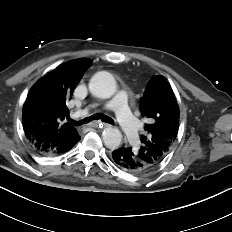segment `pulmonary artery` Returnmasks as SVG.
<instances>
[{
    "mask_svg": "<svg viewBox=\"0 0 232 232\" xmlns=\"http://www.w3.org/2000/svg\"><path fill=\"white\" fill-rule=\"evenodd\" d=\"M129 94L120 90L114 100L105 105V110H113L128 141L135 148L139 143L138 123L128 106Z\"/></svg>",
    "mask_w": 232,
    "mask_h": 232,
    "instance_id": "e3ab8cb5",
    "label": "pulmonary artery"
}]
</instances>
